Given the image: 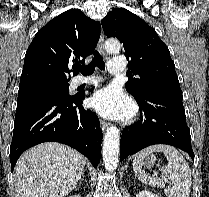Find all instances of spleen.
<instances>
[{"label": "spleen", "mask_w": 209, "mask_h": 197, "mask_svg": "<svg viewBox=\"0 0 209 197\" xmlns=\"http://www.w3.org/2000/svg\"><path fill=\"white\" fill-rule=\"evenodd\" d=\"M153 152H162L168 161L165 166L160 167V171L171 181L166 188L163 179L151 177L142 170L143 159ZM133 170L137 178L144 184L164 188L167 197H189L192 186L191 170L182 154L173 146L156 144L138 152L133 160Z\"/></svg>", "instance_id": "spleen-1"}]
</instances>
